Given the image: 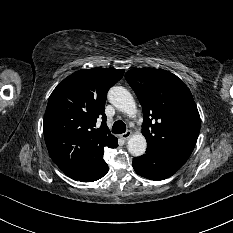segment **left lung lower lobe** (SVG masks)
Instances as JSON below:
<instances>
[{
  "label": "left lung lower lobe",
  "mask_w": 233,
  "mask_h": 233,
  "mask_svg": "<svg viewBox=\"0 0 233 233\" xmlns=\"http://www.w3.org/2000/svg\"><path fill=\"white\" fill-rule=\"evenodd\" d=\"M187 159L179 154L147 148L145 154L133 158L132 166L140 176L157 181L172 176Z\"/></svg>",
  "instance_id": "obj_1"
}]
</instances>
